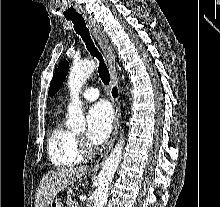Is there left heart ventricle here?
<instances>
[{
  "label": "left heart ventricle",
  "mask_w": 220,
  "mask_h": 207,
  "mask_svg": "<svg viewBox=\"0 0 220 207\" xmlns=\"http://www.w3.org/2000/svg\"><path fill=\"white\" fill-rule=\"evenodd\" d=\"M79 136H80V137H82V136H83V134L81 133V134H79Z\"/></svg>",
  "instance_id": "b2bd125f"
}]
</instances>
